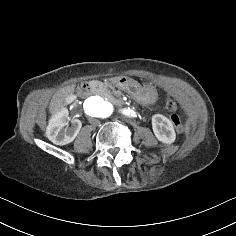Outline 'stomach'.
Instances as JSON below:
<instances>
[{
	"mask_svg": "<svg viewBox=\"0 0 236 236\" xmlns=\"http://www.w3.org/2000/svg\"><path fill=\"white\" fill-rule=\"evenodd\" d=\"M116 87L121 92L130 95L131 98L138 100L141 104L154 105L157 102L158 90L153 83L147 82L140 86L131 79L119 77L116 80Z\"/></svg>",
	"mask_w": 236,
	"mask_h": 236,
	"instance_id": "obj_1",
	"label": "stomach"
}]
</instances>
